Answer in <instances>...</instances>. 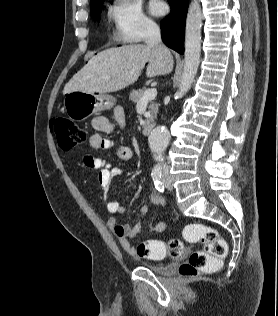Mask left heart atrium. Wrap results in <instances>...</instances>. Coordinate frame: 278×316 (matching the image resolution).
I'll return each instance as SVG.
<instances>
[{
	"instance_id": "left-heart-atrium-1",
	"label": "left heart atrium",
	"mask_w": 278,
	"mask_h": 316,
	"mask_svg": "<svg viewBox=\"0 0 278 316\" xmlns=\"http://www.w3.org/2000/svg\"><path fill=\"white\" fill-rule=\"evenodd\" d=\"M149 9L153 15L159 16L166 13L167 6L164 2L160 0H152V2L149 5Z\"/></svg>"
}]
</instances>
